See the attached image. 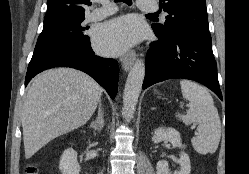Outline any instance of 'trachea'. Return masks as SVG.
<instances>
[{"label": "trachea", "instance_id": "3493384b", "mask_svg": "<svg viewBox=\"0 0 249 174\" xmlns=\"http://www.w3.org/2000/svg\"><path fill=\"white\" fill-rule=\"evenodd\" d=\"M115 2H124L128 5H132V0H115Z\"/></svg>", "mask_w": 249, "mask_h": 174}]
</instances>
